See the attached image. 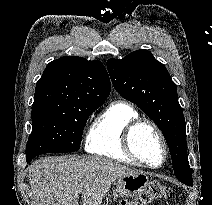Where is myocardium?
<instances>
[{
	"label": "myocardium",
	"mask_w": 212,
	"mask_h": 205,
	"mask_svg": "<svg viewBox=\"0 0 212 205\" xmlns=\"http://www.w3.org/2000/svg\"><path fill=\"white\" fill-rule=\"evenodd\" d=\"M141 126H149L157 135L162 149H163V158L160 163L158 164H151L144 160H142L138 154L136 153L134 146H133V136L134 133L138 128ZM123 145L126 153L139 165L149 167V168H158L162 166L168 157V146L166 139L161 131V129L151 120L144 119V118H138L132 121L125 129L124 135H123Z\"/></svg>",
	"instance_id": "f54148a6"
}]
</instances>
